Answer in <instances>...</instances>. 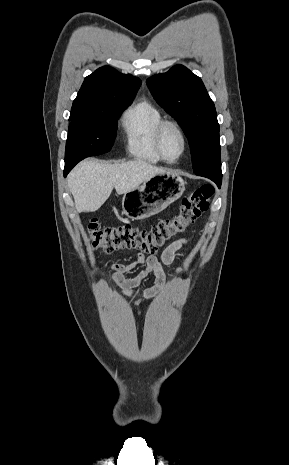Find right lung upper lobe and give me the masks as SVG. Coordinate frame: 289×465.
Returning a JSON list of instances; mask_svg holds the SVG:
<instances>
[{
	"label": "right lung upper lobe",
	"mask_w": 289,
	"mask_h": 465,
	"mask_svg": "<svg viewBox=\"0 0 289 465\" xmlns=\"http://www.w3.org/2000/svg\"><path fill=\"white\" fill-rule=\"evenodd\" d=\"M140 85L136 77L121 74L109 66L101 67L85 78L69 119L96 118L95 113L109 103L133 100Z\"/></svg>",
	"instance_id": "right-lung-upper-lobe-1"
}]
</instances>
